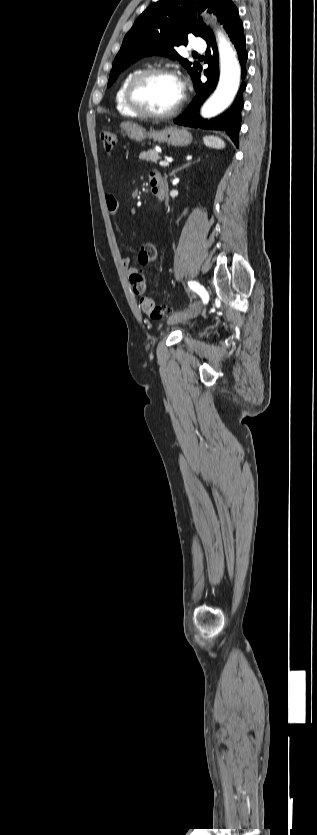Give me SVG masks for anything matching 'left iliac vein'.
Here are the masks:
<instances>
[{"instance_id":"left-iliac-vein-1","label":"left iliac vein","mask_w":317,"mask_h":835,"mask_svg":"<svg viewBox=\"0 0 317 835\" xmlns=\"http://www.w3.org/2000/svg\"><path fill=\"white\" fill-rule=\"evenodd\" d=\"M203 309L201 301H198L193 309L189 311H180L173 313L167 320L169 325H174L183 321L190 320L201 313Z\"/></svg>"}]
</instances>
